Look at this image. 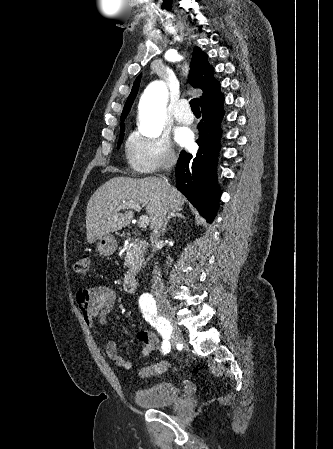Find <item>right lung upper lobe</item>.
Instances as JSON below:
<instances>
[{"label":"right lung upper lobe","instance_id":"cb5924a9","mask_svg":"<svg viewBox=\"0 0 333 449\" xmlns=\"http://www.w3.org/2000/svg\"><path fill=\"white\" fill-rule=\"evenodd\" d=\"M207 60L208 55L202 52L199 47H195L191 60L189 82L194 88H200L203 91V95L200 97V102L220 87L219 82L213 78L214 69L208 64ZM140 78L141 75H139L134 82L131 93L121 114V118L126 117L130 111L138 91Z\"/></svg>","mask_w":333,"mask_h":449}]
</instances>
